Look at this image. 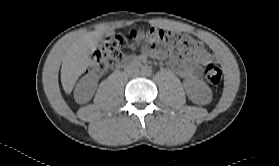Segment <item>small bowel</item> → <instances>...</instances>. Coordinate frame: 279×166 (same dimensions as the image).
I'll list each match as a JSON object with an SVG mask.
<instances>
[{
	"label": "small bowel",
	"instance_id": "obj_1",
	"mask_svg": "<svg viewBox=\"0 0 279 166\" xmlns=\"http://www.w3.org/2000/svg\"><path fill=\"white\" fill-rule=\"evenodd\" d=\"M155 54V53H153ZM155 55H160V54H155ZM212 59L211 54L203 50L199 53L194 58H183L180 62H177L174 64V70L184 78L188 77H194L198 73V68L200 65L210 61Z\"/></svg>",
	"mask_w": 279,
	"mask_h": 166
}]
</instances>
